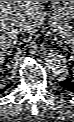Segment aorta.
I'll return each instance as SVG.
<instances>
[{
  "mask_svg": "<svg viewBox=\"0 0 74 122\" xmlns=\"http://www.w3.org/2000/svg\"><path fill=\"white\" fill-rule=\"evenodd\" d=\"M44 64L48 71L53 74H62L67 71V58L57 51H49L44 57Z\"/></svg>",
  "mask_w": 74,
  "mask_h": 122,
  "instance_id": "762f6f07",
  "label": "aorta"
}]
</instances>
